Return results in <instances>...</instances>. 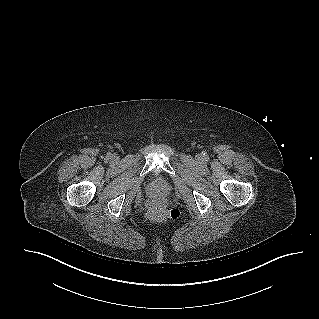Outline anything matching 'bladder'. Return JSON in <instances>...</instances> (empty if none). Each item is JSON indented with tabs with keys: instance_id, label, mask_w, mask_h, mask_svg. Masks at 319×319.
<instances>
[{
	"instance_id": "31cf9c89",
	"label": "bladder",
	"mask_w": 319,
	"mask_h": 319,
	"mask_svg": "<svg viewBox=\"0 0 319 319\" xmlns=\"http://www.w3.org/2000/svg\"><path fill=\"white\" fill-rule=\"evenodd\" d=\"M167 184L164 181L161 180H155L150 185V190L153 194H159L162 192H165L167 190Z\"/></svg>"
}]
</instances>
